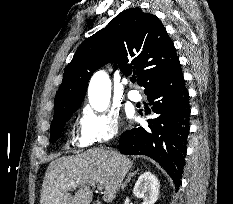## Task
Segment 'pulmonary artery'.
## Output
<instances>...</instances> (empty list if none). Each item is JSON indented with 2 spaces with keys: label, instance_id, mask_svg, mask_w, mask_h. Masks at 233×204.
<instances>
[{
  "label": "pulmonary artery",
  "instance_id": "e3ab8cb5",
  "mask_svg": "<svg viewBox=\"0 0 233 204\" xmlns=\"http://www.w3.org/2000/svg\"><path fill=\"white\" fill-rule=\"evenodd\" d=\"M127 96L131 101H135V102L140 101L142 98L137 90H129Z\"/></svg>",
  "mask_w": 233,
  "mask_h": 204
}]
</instances>
